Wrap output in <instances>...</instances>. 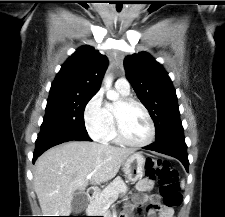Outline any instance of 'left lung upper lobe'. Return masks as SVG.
Returning <instances> with one entry per match:
<instances>
[{
	"mask_svg": "<svg viewBox=\"0 0 225 217\" xmlns=\"http://www.w3.org/2000/svg\"><path fill=\"white\" fill-rule=\"evenodd\" d=\"M126 76L154 121L156 138L183 130L177 96L162 65L146 52L124 59Z\"/></svg>",
	"mask_w": 225,
	"mask_h": 217,
	"instance_id": "1",
	"label": "left lung upper lobe"
}]
</instances>
